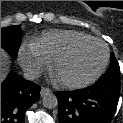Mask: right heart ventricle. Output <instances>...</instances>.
<instances>
[{
	"mask_svg": "<svg viewBox=\"0 0 123 123\" xmlns=\"http://www.w3.org/2000/svg\"><path fill=\"white\" fill-rule=\"evenodd\" d=\"M89 38L92 37L80 31L49 30L35 38L30 47L41 53L49 61H53L56 56L72 44Z\"/></svg>",
	"mask_w": 123,
	"mask_h": 123,
	"instance_id": "1",
	"label": "right heart ventricle"
}]
</instances>
